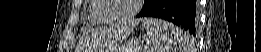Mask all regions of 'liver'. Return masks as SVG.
<instances>
[{"label": "liver", "mask_w": 261, "mask_h": 52, "mask_svg": "<svg viewBox=\"0 0 261 52\" xmlns=\"http://www.w3.org/2000/svg\"><path fill=\"white\" fill-rule=\"evenodd\" d=\"M130 31H131L130 28L125 29V33H126V34L129 33Z\"/></svg>", "instance_id": "liver-1"}]
</instances>
